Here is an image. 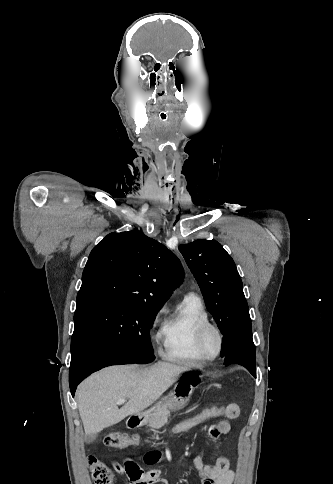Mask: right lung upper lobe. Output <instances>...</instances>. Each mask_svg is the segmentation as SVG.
<instances>
[{"mask_svg":"<svg viewBox=\"0 0 333 484\" xmlns=\"http://www.w3.org/2000/svg\"><path fill=\"white\" fill-rule=\"evenodd\" d=\"M177 257L139 230L110 233L91 251L76 303L104 300L160 309L182 282Z\"/></svg>","mask_w":333,"mask_h":484,"instance_id":"right-lung-upper-lobe-1","label":"right lung upper lobe"}]
</instances>
